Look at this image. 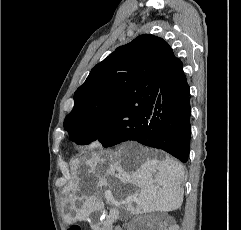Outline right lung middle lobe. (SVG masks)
Instances as JSON below:
<instances>
[{"instance_id": "right-lung-middle-lobe-1", "label": "right lung middle lobe", "mask_w": 241, "mask_h": 230, "mask_svg": "<svg viewBox=\"0 0 241 230\" xmlns=\"http://www.w3.org/2000/svg\"><path fill=\"white\" fill-rule=\"evenodd\" d=\"M147 103L134 108L112 109L108 117L103 120L79 122L68 131L70 139L82 145L98 139L104 147L124 142L129 135L135 132L141 133L148 126Z\"/></svg>"}]
</instances>
